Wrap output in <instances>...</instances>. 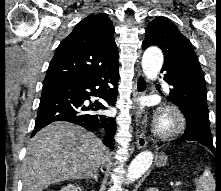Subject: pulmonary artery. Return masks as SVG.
<instances>
[{
	"instance_id": "e3ab8cb5",
	"label": "pulmonary artery",
	"mask_w": 221,
	"mask_h": 191,
	"mask_svg": "<svg viewBox=\"0 0 221 191\" xmlns=\"http://www.w3.org/2000/svg\"><path fill=\"white\" fill-rule=\"evenodd\" d=\"M165 88H168V85L166 83L163 84Z\"/></svg>"
}]
</instances>
